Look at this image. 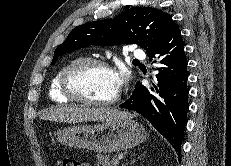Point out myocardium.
<instances>
[{"mask_svg": "<svg viewBox=\"0 0 231 166\" xmlns=\"http://www.w3.org/2000/svg\"><path fill=\"white\" fill-rule=\"evenodd\" d=\"M91 66H98L105 68L109 71H114L112 66L105 60L99 58H82L72 62L66 69L63 71L62 76L60 78V89L61 92L68 97L69 99L80 102L87 105H94V106H112L116 104L120 98L121 93L118 91L117 95L110 100H96L87 98L80 93H78L72 84V79L76 73Z\"/></svg>", "mask_w": 231, "mask_h": 166, "instance_id": "1", "label": "myocardium"}]
</instances>
